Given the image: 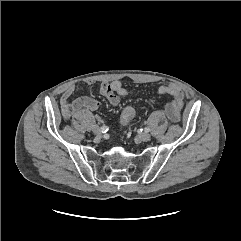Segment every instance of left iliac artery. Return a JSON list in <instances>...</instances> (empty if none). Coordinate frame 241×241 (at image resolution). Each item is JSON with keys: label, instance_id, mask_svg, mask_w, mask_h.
<instances>
[{"label": "left iliac artery", "instance_id": "left-iliac-artery-1", "mask_svg": "<svg viewBox=\"0 0 241 241\" xmlns=\"http://www.w3.org/2000/svg\"><path fill=\"white\" fill-rule=\"evenodd\" d=\"M144 131H145V132H149V131H150V128H149V127H145V128H144Z\"/></svg>", "mask_w": 241, "mask_h": 241}]
</instances>
